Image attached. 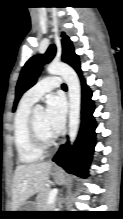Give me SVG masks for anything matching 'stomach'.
Returning a JSON list of instances; mask_svg holds the SVG:
<instances>
[{"label":"stomach","instance_id":"0dacf381","mask_svg":"<svg viewBox=\"0 0 123 219\" xmlns=\"http://www.w3.org/2000/svg\"><path fill=\"white\" fill-rule=\"evenodd\" d=\"M51 174L54 176V178L56 179L57 182H61L63 179V174L62 171L59 169H53ZM35 203L33 202H26L22 205V207L20 208V210L18 211H34L33 209H35ZM20 215H25V214H20Z\"/></svg>","mask_w":123,"mask_h":219}]
</instances>
